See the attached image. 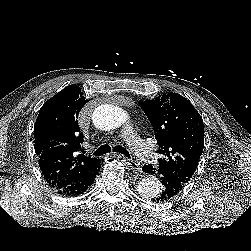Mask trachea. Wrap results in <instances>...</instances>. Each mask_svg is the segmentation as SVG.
<instances>
[{
    "mask_svg": "<svg viewBox=\"0 0 251 251\" xmlns=\"http://www.w3.org/2000/svg\"><path fill=\"white\" fill-rule=\"evenodd\" d=\"M113 150L115 152H117V153L123 154L124 156L130 158L129 152L125 148H123L122 146H120V145L115 146ZM109 152H111V147L108 144H104V145L100 146L93 153V155L100 156V155H104V154L109 153Z\"/></svg>",
    "mask_w": 251,
    "mask_h": 251,
    "instance_id": "trachea-1",
    "label": "trachea"
}]
</instances>
